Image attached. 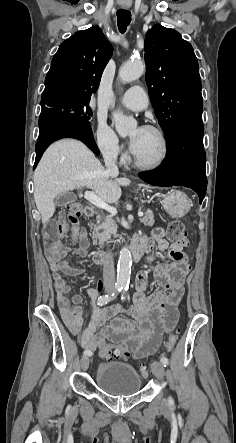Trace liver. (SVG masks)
I'll return each instance as SVG.
<instances>
[{
	"label": "liver",
	"mask_w": 236,
	"mask_h": 443,
	"mask_svg": "<svg viewBox=\"0 0 236 443\" xmlns=\"http://www.w3.org/2000/svg\"><path fill=\"white\" fill-rule=\"evenodd\" d=\"M34 199L45 224L55 212L54 199L67 191L88 187L106 203L121 197L127 178L109 175L95 155L80 141L64 139L45 151L34 172Z\"/></svg>",
	"instance_id": "obj_1"
}]
</instances>
